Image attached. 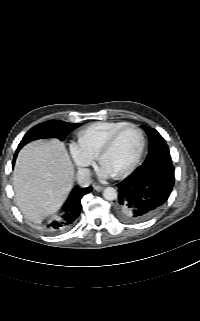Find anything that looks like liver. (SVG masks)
<instances>
[{
    "instance_id": "1",
    "label": "liver",
    "mask_w": 200,
    "mask_h": 321,
    "mask_svg": "<svg viewBox=\"0 0 200 321\" xmlns=\"http://www.w3.org/2000/svg\"><path fill=\"white\" fill-rule=\"evenodd\" d=\"M73 178L74 167L62 142H30L19 152L13 171L15 201L27 218L41 221L60 209Z\"/></svg>"
}]
</instances>
